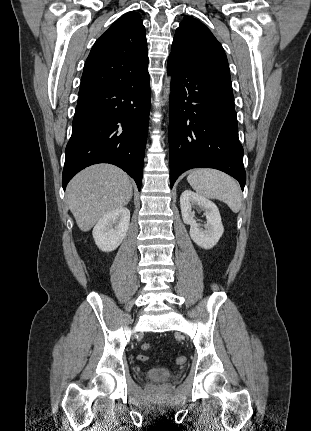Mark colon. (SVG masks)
Instances as JSON below:
<instances>
[{
	"instance_id": "1",
	"label": "colon",
	"mask_w": 311,
	"mask_h": 431,
	"mask_svg": "<svg viewBox=\"0 0 311 431\" xmlns=\"http://www.w3.org/2000/svg\"><path fill=\"white\" fill-rule=\"evenodd\" d=\"M142 350H144V351H147V350H149L150 349V345L149 344H147V343H145V344H143L142 345ZM138 360L139 361H142V362H145V361H147L148 360V356H146V355H144V354H140V355H138ZM176 364H178V365H183L184 363H185V357H183V356H179V357H177L176 358Z\"/></svg>"
}]
</instances>
